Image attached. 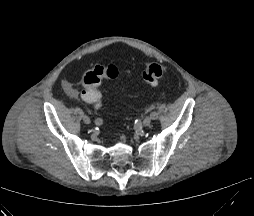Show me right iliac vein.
<instances>
[{"instance_id":"63e3f726","label":"right iliac vein","mask_w":254,"mask_h":216,"mask_svg":"<svg viewBox=\"0 0 254 216\" xmlns=\"http://www.w3.org/2000/svg\"><path fill=\"white\" fill-rule=\"evenodd\" d=\"M82 120L87 125L91 124V119L88 116H83Z\"/></svg>"}]
</instances>
